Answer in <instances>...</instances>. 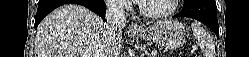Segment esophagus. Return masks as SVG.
Returning <instances> with one entry per match:
<instances>
[{
	"instance_id": "esophagus-1",
	"label": "esophagus",
	"mask_w": 249,
	"mask_h": 57,
	"mask_svg": "<svg viewBox=\"0 0 249 57\" xmlns=\"http://www.w3.org/2000/svg\"><path fill=\"white\" fill-rule=\"evenodd\" d=\"M138 30H140V27L136 23H131L129 25V31L136 32Z\"/></svg>"
}]
</instances>
